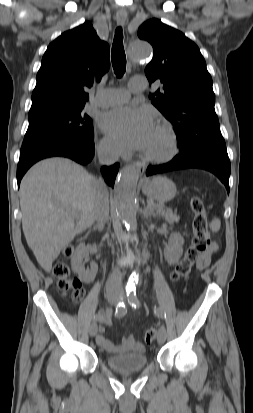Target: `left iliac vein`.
<instances>
[{"label": "left iliac vein", "mask_w": 253, "mask_h": 413, "mask_svg": "<svg viewBox=\"0 0 253 413\" xmlns=\"http://www.w3.org/2000/svg\"><path fill=\"white\" fill-rule=\"evenodd\" d=\"M166 336H167L166 329H165L164 326H161V327L159 328L158 334H157V341H158V343H159V344L164 343L165 340H166Z\"/></svg>", "instance_id": "4c4485c4"}]
</instances>
